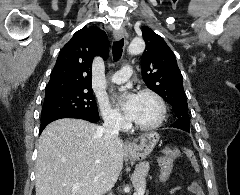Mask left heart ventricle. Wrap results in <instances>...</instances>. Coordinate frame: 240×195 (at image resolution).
Wrapping results in <instances>:
<instances>
[{
	"mask_svg": "<svg viewBox=\"0 0 240 195\" xmlns=\"http://www.w3.org/2000/svg\"><path fill=\"white\" fill-rule=\"evenodd\" d=\"M158 115L157 102L150 96H138L137 106L132 121L140 125L153 122Z\"/></svg>",
	"mask_w": 240,
	"mask_h": 195,
	"instance_id": "b2bd125f",
	"label": "left heart ventricle"
}]
</instances>
